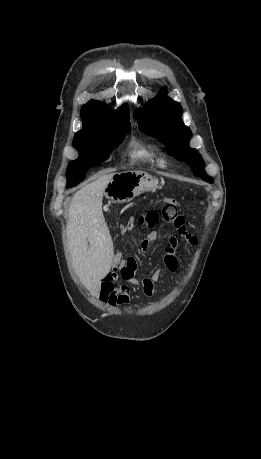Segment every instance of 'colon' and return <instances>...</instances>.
I'll use <instances>...</instances> for the list:
<instances>
[{
	"label": "colon",
	"instance_id": "1",
	"mask_svg": "<svg viewBox=\"0 0 261 459\" xmlns=\"http://www.w3.org/2000/svg\"><path fill=\"white\" fill-rule=\"evenodd\" d=\"M164 201L165 206L163 209V218L165 219V221L172 224L176 229L182 228V226L184 225V217L178 214L177 200L172 197H165ZM159 221L160 217L158 212L149 211L138 218L137 224L145 226L146 228L152 230L158 226ZM118 251L119 252L115 254V259L117 261L125 260L127 258V255L125 253H122L123 248L119 247ZM116 266H118L117 263Z\"/></svg>",
	"mask_w": 261,
	"mask_h": 459
}]
</instances>
